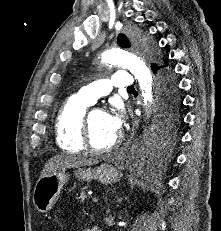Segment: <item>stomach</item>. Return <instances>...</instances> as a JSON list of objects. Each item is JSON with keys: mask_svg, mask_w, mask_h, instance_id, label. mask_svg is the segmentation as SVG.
Listing matches in <instances>:
<instances>
[{"mask_svg": "<svg viewBox=\"0 0 221 231\" xmlns=\"http://www.w3.org/2000/svg\"><path fill=\"white\" fill-rule=\"evenodd\" d=\"M74 174L81 180L94 179L103 184L116 183L122 176L119 170L109 162L95 168H78ZM69 176L65 170H58L39 178L33 192V204L39 212L45 213L52 209Z\"/></svg>", "mask_w": 221, "mask_h": 231, "instance_id": "stomach-1", "label": "stomach"}]
</instances>
